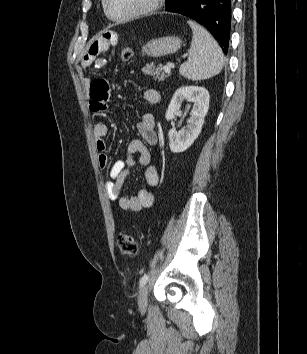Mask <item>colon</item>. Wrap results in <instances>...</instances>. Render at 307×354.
<instances>
[{
  "label": "colon",
  "mask_w": 307,
  "mask_h": 354,
  "mask_svg": "<svg viewBox=\"0 0 307 354\" xmlns=\"http://www.w3.org/2000/svg\"><path fill=\"white\" fill-rule=\"evenodd\" d=\"M133 55L132 49L129 47H124L121 50L120 56L123 61H128ZM118 247L123 255L134 256L137 254L138 245L137 241L129 233H121L117 238Z\"/></svg>",
  "instance_id": "5ec220e1"
}]
</instances>
